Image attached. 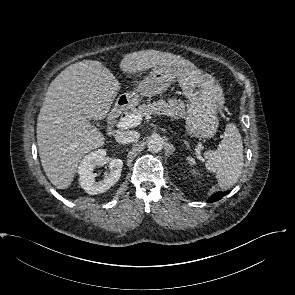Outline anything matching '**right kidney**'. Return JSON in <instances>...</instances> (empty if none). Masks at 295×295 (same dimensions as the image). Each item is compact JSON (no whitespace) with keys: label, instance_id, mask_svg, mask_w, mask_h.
<instances>
[{"label":"right kidney","instance_id":"ca27d5eb","mask_svg":"<svg viewBox=\"0 0 295 295\" xmlns=\"http://www.w3.org/2000/svg\"><path fill=\"white\" fill-rule=\"evenodd\" d=\"M109 162V172L104 179L95 181V167ZM123 162L119 158L106 159V150L99 149L84 156L78 167L79 181L82 188L90 195L99 194L113 186L121 176Z\"/></svg>","mask_w":295,"mask_h":295}]
</instances>
